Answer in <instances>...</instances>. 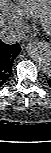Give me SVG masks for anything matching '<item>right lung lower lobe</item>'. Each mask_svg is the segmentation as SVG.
Segmentation results:
<instances>
[{
    "label": "right lung lower lobe",
    "instance_id": "obj_1",
    "mask_svg": "<svg viewBox=\"0 0 51 153\" xmlns=\"http://www.w3.org/2000/svg\"><path fill=\"white\" fill-rule=\"evenodd\" d=\"M21 48L18 43L8 45L0 40V87L5 84L12 73V62Z\"/></svg>",
    "mask_w": 51,
    "mask_h": 153
}]
</instances>
